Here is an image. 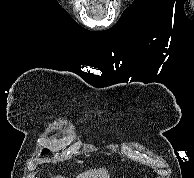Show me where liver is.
Here are the masks:
<instances>
[{"mask_svg":"<svg viewBox=\"0 0 194 178\" xmlns=\"http://www.w3.org/2000/svg\"><path fill=\"white\" fill-rule=\"evenodd\" d=\"M54 178H64L62 176H56ZM76 178H109V174L107 170L104 168L102 169H94V170H88L84 173H80Z\"/></svg>","mask_w":194,"mask_h":178,"instance_id":"1","label":"liver"}]
</instances>
